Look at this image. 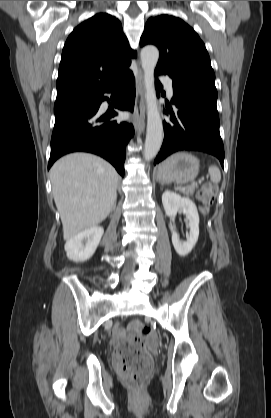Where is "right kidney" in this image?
<instances>
[{
    "label": "right kidney",
    "mask_w": 271,
    "mask_h": 418,
    "mask_svg": "<svg viewBox=\"0 0 271 418\" xmlns=\"http://www.w3.org/2000/svg\"><path fill=\"white\" fill-rule=\"evenodd\" d=\"M104 229L100 226L88 228L71 239L65 244V251L68 259L81 262L86 261L95 253Z\"/></svg>",
    "instance_id": "ca27d5eb"
}]
</instances>
